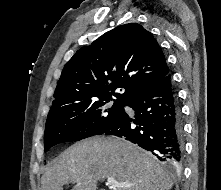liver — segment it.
I'll return each mask as SVG.
<instances>
[{
    "instance_id": "6515ba94",
    "label": "liver",
    "mask_w": 221,
    "mask_h": 190,
    "mask_svg": "<svg viewBox=\"0 0 221 190\" xmlns=\"http://www.w3.org/2000/svg\"><path fill=\"white\" fill-rule=\"evenodd\" d=\"M114 178L129 187L113 190H170L172 179L144 150L114 137H93L75 143L55 158L41 179V190H96L97 182Z\"/></svg>"
}]
</instances>
